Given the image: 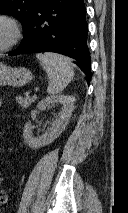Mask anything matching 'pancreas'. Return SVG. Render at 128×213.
Wrapping results in <instances>:
<instances>
[{
    "label": "pancreas",
    "instance_id": "pancreas-1",
    "mask_svg": "<svg viewBox=\"0 0 128 213\" xmlns=\"http://www.w3.org/2000/svg\"><path fill=\"white\" fill-rule=\"evenodd\" d=\"M16 101L22 108H28L35 101V99L30 97L23 98L21 96H17Z\"/></svg>",
    "mask_w": 128,
    "mask_h": 213
}]
</instances>
